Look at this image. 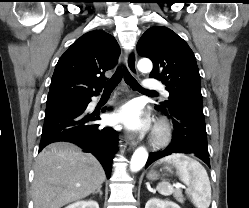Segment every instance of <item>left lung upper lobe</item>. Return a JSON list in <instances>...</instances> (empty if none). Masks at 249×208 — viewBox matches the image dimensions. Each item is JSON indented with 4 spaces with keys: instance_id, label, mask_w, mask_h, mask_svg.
Wrapping results in <instances>:
<instances>
[{
    "instance_id": "5c2ea615",
    "label": "left lung upper lobe",
    "mask_w": 249,
    "mask_h": 208,
    "mask_svg": "<svg viewBox=\"0 0 249 208\" xmlns=\"http://www.w3.org/2000/svg\"><path fill=\"white\" fill-rule=\"evenodd\" d=\"M137 50L152 60L150 77L162 81L170 94L157 109L168 112L175 105H183L203 111L196 59L181 37L167 27H151L138 41Z\"/></svg>"
}]
</instances>
